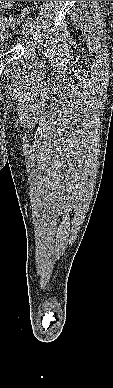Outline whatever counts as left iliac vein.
Masks as SVG:
<instances>
[{
    "mask_svg": "<svg viewBox=\"0 0 113 388\" xmlns=\"http://www.w3.org/2000/svg\"><path fill=\"white\" fill-rule=\"evenodd\" d=\"M22 33L27 37L30 38V35L32 34V25L26 23L22 28Z\"/></svg>",
    "mask_w": 113,
    "mask_h": 388,
    "instance_id": "left-iliac-vein-1",
    "label": "left iliac vein"
}]
</instances>
